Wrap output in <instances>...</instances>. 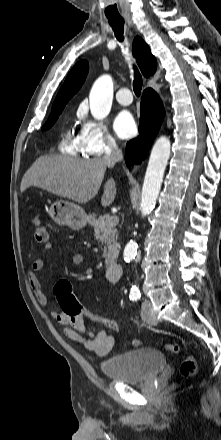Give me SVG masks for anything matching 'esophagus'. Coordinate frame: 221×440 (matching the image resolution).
<instances>
[{
  "mask_svg": "<svg viewBox=\"0 0 221 440\" xmlns=\"http://www.w3.org/2000/svg\"><path fill=\"white\" fill-rule=\"evenodd\" d=\"M126 21H127V23H128L129 25H131V20H130V18H126Z\"/></svg>",
  "mask_w": 221,
  "mask_h": 440,
  "instance_id": "34e87169",
  "label": "esophagus"
}]
</instances>
